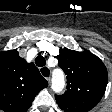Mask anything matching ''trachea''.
I'll return each instance as SVG.
<instances>
[{
	"label": "trachea",
	"instance_id": "3493384b",
	"mask_svg": "<svg viewBox=\"0 0 112 112\" xmlns=\"http://www.w3.org/2000/svg\"><path fill=\"white\" fill-rule=\"evenodd\" d=\"M35 63H36V65H37L38 67H42V66H45L46 60H45V58H44L43 56L38 55V56L36 57V59H35ZM43 69H44V68H43ZM42 74H43L44 76H47L46 73H44L43 71H42Z\"/></svg>",
	"mask_w": 112,
	"mask_h": 112
}]
</instances>
